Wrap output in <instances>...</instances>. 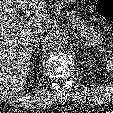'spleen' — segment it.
I'll return each mask as SVG.
<instances>
[{
	"label": "spleen",
	"instance_id": "3e777b00",
	"mask_svg": "<svg viewBox=\"0 0 113 113\" xmlns=\"http://www.w3.org/2000/svg\"><path fill=\"white\" fill-rule=\"evenodd\" d=\"M106 70L113 76V54L110 56V59L106 63Z\"/></svg>",
	"mask_w": 113,
	"mask_h": 113
}]
</instances>
